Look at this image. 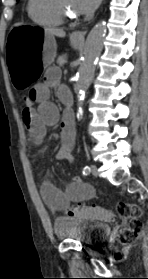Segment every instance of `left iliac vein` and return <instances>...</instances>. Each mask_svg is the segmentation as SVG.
<instances>
[{
	"instance_id": "4c4485c4",
	"label": "left iliac vein",
	"mask_w": 148,
	"mask_h": 279,
	"mask_svg": "<svg viewBox=\"0 0 148 279\" xmlns=\"http://www.w3.org/2000/svg\"><path fill=\"white\" fill-rule=\"evenodd\" d=\"M91 173L97 177L98 176V168L96 165H91Z\"/></svg>"
}]
</instances>
